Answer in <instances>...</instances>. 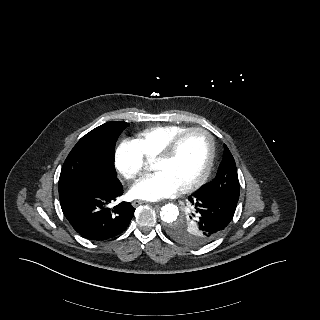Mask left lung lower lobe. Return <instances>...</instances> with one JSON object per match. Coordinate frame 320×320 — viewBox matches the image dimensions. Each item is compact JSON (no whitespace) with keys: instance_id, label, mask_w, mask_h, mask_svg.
I'll return each mask as SVG.
<instances>
[{"instance_id":"left-lung-lower-lobe-1","label":"left lung lower lobe","mask_w":320,"mask_h":320,"mask_svg":"<svg viewBox=\"0 0 320 320\" xmlns=\"http://www.w3.org/2000/svg\"><path fill=\"white\" fill-rule=\"evenodd\" d=\"M189 201L195 206L202 224L203 234L210 241L219 237L233 218L237 202L206 194L201 189Z\"/></svg>"}]
</instances>
